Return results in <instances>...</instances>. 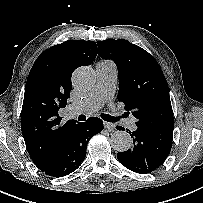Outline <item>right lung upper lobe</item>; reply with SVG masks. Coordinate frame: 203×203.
I'll return each instance as SVG.
<instances>
[{
	"mask_svg": "<svg viewBox=\"0 0 203 203\" xmlns=\"http://www.w3.org/2000/svg\"><path fill=\"white\" fill-rule=\"evenodd\" d=\"M97 55L94 41L67 40L44 52L34 62L27 78L21 112V130L30 157L40 168L55 156L70 126L58 115L67 104L73 71L90 65Z\"/></svg>",
	"mask_w": 203,
	"mask_h": 203,
	"instance_id": "right-lung-upper-lobe-1",
	"label": "right lung upper lobe"
}]
</instances>
